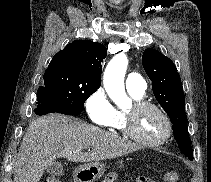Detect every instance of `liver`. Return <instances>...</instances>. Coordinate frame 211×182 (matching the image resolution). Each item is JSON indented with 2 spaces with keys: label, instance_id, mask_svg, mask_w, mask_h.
<instances>
[{
  "label": "liver",
  "instance_id": "obj_1",
  "mask_svg": "<svg viewBox=\"0 0 211 182\" xmlns=\"http://www.w3.org/2000/svg\"><path fill=\"white\" fill-rule=\"evenodd\" d=\"M92 148L88 152L82 149ZM138 145L77 118L52 113L33 121L14 162V182H39L57 158L86 163L120 157Z\"/></svg>",
  "mask_w": 211,
  "mask_h": 182
}]
</instances>
